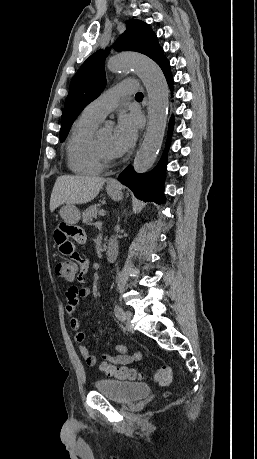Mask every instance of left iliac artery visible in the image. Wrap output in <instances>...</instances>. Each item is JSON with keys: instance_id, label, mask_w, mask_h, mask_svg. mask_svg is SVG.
I'll return each instance as SVG.
<instances>
[{"instance_id": "1", "label": "left iliac artery", "mask_w": 257, "mask_h": 459, "mask_svg": "<svg viewBox=\"0 0 257 459\" xmlns=\"http://www.w3.org/2000/svg\"><path fill=\"white\" fill-rule=\"evenodd\" d=\"M114 313L119 320L124 321V311L120 306H115Z\"/></svg>"}]
</instances>
